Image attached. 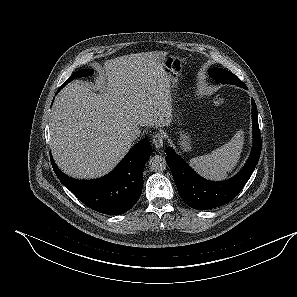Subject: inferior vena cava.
<instances>
[{
    "instance_id": "1",
    "label": "inferior vena cava",
    "mask_w": 297,
    "mask_h": 297,
    "mask_svg": "<svg viewBox=\"0 0 297 297\" xmlns=\"http://www.w3.org/2000/svg\"><path fill=\"white\" fill-rule=\"evenodd\" d=\"M140 133H141V130L139 129V127L129 126L124 131V138L127 141L132 142V141L136 140L139 137Z\"/></svg>"
}]
</instances>
